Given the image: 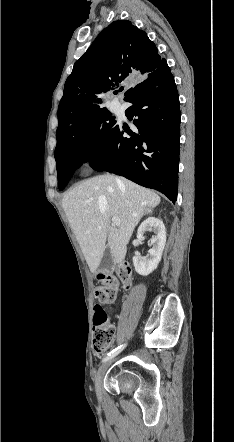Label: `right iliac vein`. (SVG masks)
I'll return each instance as SVG.
<instances>
[{
  "instance_id": "63e3f726",
  "label": "right iliac vein",
  "mask_w": 234,
  "mask_h": 442,
  "mask_svg": "<svg viewBox=\"0 0 234 442\" xmlns=\"http://www.w3.org/2000/svg\"><path fill=\"white\" fill-rule=\"evenodd\" d=\"M111 363H112V360H108L104 364H102L100 366V368L98 369L97 375L95 377V389L98 394H100V392H101L103 377H104L107 369L111 365Z\"/></svg>"
}]
</instances>
